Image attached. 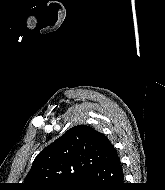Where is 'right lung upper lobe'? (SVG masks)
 Segmentation results:
<instances>
[{
    "label": "right lung upper lobe",
    "instance_id": "1",
    "mask_svg": "<svg viewBox=\"0 0 165 190\" xmlns=\"http://www.w3.org/2000/svg\"><path fill=\"white\" fill-rule=\"evenodd\" d=\"M116 155L102 133L87 125L75 126L36 156L22 187L49 190L76 183L87 171Z\"/></svg>",
    "mask_w": 165,
    "mask_h": 190
}]
</instances>
